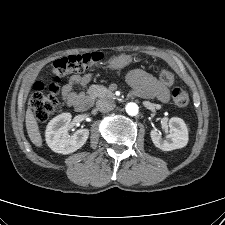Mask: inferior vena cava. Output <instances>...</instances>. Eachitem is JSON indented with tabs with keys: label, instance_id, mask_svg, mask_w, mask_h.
Instances as JSON below:
<instances>
[{
	"label": "inferior vena cava",
	"instance_id": "obj_1",
	"mask_svg": "<svg viewBox=\"0 0 225 225\" xmlns=\"http://www.w3.org/2000/svg\"><path fill=\"white\" fill-rule=\"evenodd\" d=\"M115 103L111 99L102 98L96 102V107L101 112H108L115 108Z\"/></svg>",
	"mask_w": 225,
	"mask_h": 225
}]
</instances>
